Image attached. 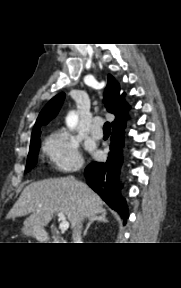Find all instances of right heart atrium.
<instances>
[{"label":"right heart atrium","mask_w":181,"mask_h":288,"mask_svg":"<svg viewBox=\"0 0 181 288\" xmlns=\"http://www.w3.org/2000/svg\"><path fill=\"white\" fill-rule=\"evenodd\" d=\"M44 153L50 165L59 172L76 171L84 163L78 140L66 130L55 131L47 138Z\"/></svg>","instance_id":"right-heart-atrium-1"}]
</instances>
